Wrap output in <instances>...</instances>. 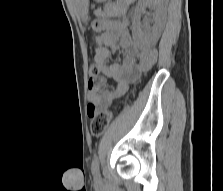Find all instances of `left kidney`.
Wrapping results in <instances>:
<instances>
[{
    "mask_svg": "<svg viewBox=\"0 0 223 191\" xmlns=\"http://www.w3.org/2000/svg\"><path fill=\"white\" fill-rule=\"evenodd\" d=\"M166 4L167 0H141L138 3L133 17V34L141 44L149 46L156 43L159 39L163 28ZM147 7L155 10L153 16L154 24L151 28L143 30L140 18L141 13Z\"/></svg>",
    "mask_w": 223,
    "mask_h": 191,
    "instance_id": "1",
    "label": "left kidney"
}]
</instances>
